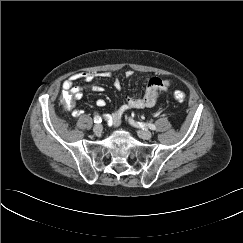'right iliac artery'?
<instances>
[{
    "instance_id": "1",
    "label": "right iliac artery",
    "mask_w": 243,
    "mask_h": 243,
    "mask_svg": "<svg viewBox=\"0 0 243 243\" xmlns=\"http://www.w3.org/2000/svg\"><path fill=\"white\" fill-rule=\"evenodd\" d=\"M101 121H102V118L100 116H95L94 117V122L95 123H101Z\"/></svg>"
}]
</instances>
